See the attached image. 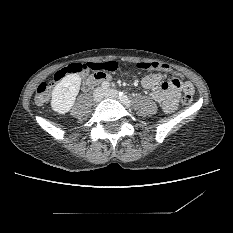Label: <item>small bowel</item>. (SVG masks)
<instances>
[{
  "mask_svg": "<svg viewBox=\"0 0 233 233\" xmlns=\"http://www.w3.org/2000/svg\"><path fill=\"white\" fill-rule=\"evenodd\" d=\"M95 65V63L91 62L85 63L83 65V71L81 74L86 75L90 70H99V72L105 73L103 70H115L118 63L115 59L107 60L103 63L105 66L104 69H96ZM106 75L109 77L108 74ZM165 78L166 74L161 72H153L146 75L142 79L141 84L144 89L151 91V98L161 105L164 112L172 113L177 108V103L181 94H193L194 89L192 83L189 81L180 80L178 78H173L166 81L164 80Z\"/></svg>",
  "mask_w": 233,
  "mask_h": 233,
  "instance_id": "c3829d8e",
  "label": "small bowel"
}]
</instances>
